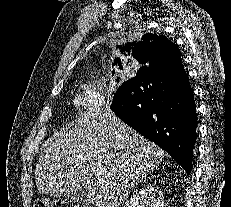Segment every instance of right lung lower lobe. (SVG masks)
Returning a JSON list of instances; mask_svg holds the SVG:
<instances>
[{"instance_id": "98d812e1", "label": "right lung lower lobe", "mask_w": 231, "mask_h": 207, "mask_svg": "<svg viewBox=\"0 0 231 207\" xmlns=\"http://www.w3.org/2000/svg\"><path fill=\"white\" fill-rule=\"evenodd\" d=\"M116 115L167 151L190 174L197 133L194 94L184 66H143L114 95Z\"/></svg>"}]
</instances>
